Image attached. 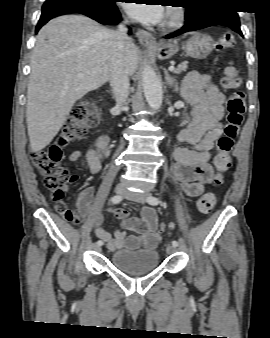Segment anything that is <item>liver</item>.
I'll return each instance as SVG.
<instances>
[{
    "label": "liver",
    "mask_w": 270,
    "mask_h": 338,
    "mask_svg": "<svg viewBox=\"0 0 270 338\" xmlns=\"http://www.w3.org/2000/svg\"><path fill=\"white\" fill-rule=\"evenodd\" d=\"M111 33L81 15L57 17L39 31L27 89L26 122L33 152L50 144L77 100L109 80ZM124 65L129 76L137 70L138 48L131 39L125 44Z\"/></svg>",
    "instance_id": "6515ba94"
}]
</instances>
